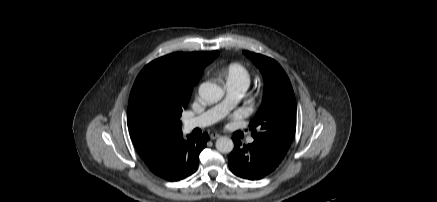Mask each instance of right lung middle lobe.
I'll list each match as a JSON object with an SVG mask.
<instances>
[{
	"label": "right lung middle lobe",
	"mask_w": 437,
	"mask_h": 202,
	"mask_svg": "<svg viewBox=\"0 0 437 202\" xmlns=\"http://www.w3.org/2000/svg\"><path fill=\"white\" fill-rule=\"evenodd\" d=\"M171 66L152 61L137 76L132 87L127 119L147 126L182 125L180 117L187 103L171 97Z\"/></svg>",
	"instance_id": "obj_1"
}]
</instances>
